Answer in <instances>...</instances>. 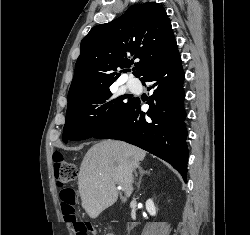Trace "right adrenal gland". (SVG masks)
<instances>
[{"instance_id":"1","label":"right adrenal gland","mask_w":250,"mask_h":235,"mask_svg":"<svg viewBox=\"0 0 250 235\" xmlns=\"http://www.w3.org/2000/svg\"><path fill=\"white\" fill-rule=\"evenodd\" d=\"M139 173H140V178H139V182H138V184H137V190H138V191L140 190V185H141V181H142L143 175H144V174L149 175V174H150V171H147V170L145 171V170H143L142 167H139Z\"/></svg>"}]
</instances>
